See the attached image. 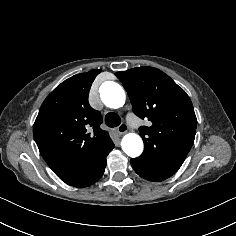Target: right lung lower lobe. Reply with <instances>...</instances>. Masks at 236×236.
Segmentation results:
<instances>
[{"mask_svg": "<svg viewBox=\"0 0 236 236\" xmlns=\"http://www.w3.org/2000/svg\"><path fill=\"white\" fill-rule=\"evenodd\" d=\"M114 148L113 142L99 154L89 165L55 173L62 181L74 187H87L97 182L106 167V157Z\"/></svg>", "mask_w": 236, "mask_h": 236, "instance_id": "obj_1", "label": "right lung lower lobe"}]
</instances>
